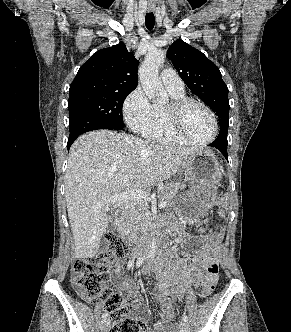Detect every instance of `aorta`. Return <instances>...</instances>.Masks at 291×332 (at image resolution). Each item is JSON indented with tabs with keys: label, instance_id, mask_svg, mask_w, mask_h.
<instances>
[{
	"label": "aorta",
	"instance_id": "obj_1",
	"mask_svg": "<svg viewBox=\"0 0 291 332\" xmlns=\"http://www.w3.org/2000/svg\"><path fill=\"white\" fill-rule=\"evenodd\" d=\"M165 54L161 49H154L147 53L140 69L139 79L142 88L148 98L155 103H165L168 101V94L159 80L158 70L164 62ZM156 242L152 240L151 253H155Z\"/></svg>",
	"mask_w": 291,
	"mask_h": 332
}]
</instances>
